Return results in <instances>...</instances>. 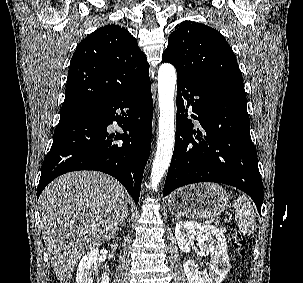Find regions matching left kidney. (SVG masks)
I'll use <instances>...</instances> for the list:
<instances>
[{
    "label": "left kidney",
    "mask_w": 303,
    "mask_h": 283,
    "mask_svg": "<svg viewBox=\"0 0 303 283\" xmlns=\"http://www.w3.org/2000/svg\"><path fill=\"white\" fill-rule=\"evenodd\" d=\"M175 235L181 251L189 252L196 240L200 250L210 255L208 272L199 271L193 260H187L184 263L188 282L221 283L230 270L224 234L214 226L181 221L175 226Z\"/></svg>",
    "instance_id": "left-kidney-1"
}]
</instances>
